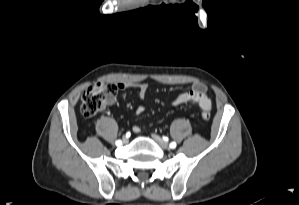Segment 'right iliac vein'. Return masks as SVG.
Returning a JSON list of instances; mask_svg holds the SVG:
<instances>
[{
    "instance_id": "right-iliac-vein-1",
    "label": "right iliac vein",
    "mask_w": 299,
    "mask_h": 205,
    "mask_svg": "<svg viewBox=\"0 0 299 205\" xmlns=\"http://www.w3.org/2000/svg\"><path fill=\"white\" fill-rule=\"evenodd\" d=\"M122 142H123L124 144L128 143V138L124 137L123 140H122Z\"/></svg>"
}]
</instances>
